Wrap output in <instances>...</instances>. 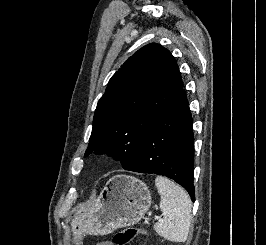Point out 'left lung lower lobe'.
Masks as SVG:
<instances>
[{
    "mask_svg": "<svg viewBox=\"0 0 266 245\" xmlns=\"http://www.w3.org/2000/svg\"><path fill=\"white\" fill-rule=\"evenodd\" d=\"M125 170L173 179L195 201L192 117L183 86L143 135Z\"/></svg>",
    "mask_w": 266,
    "mask_h": 245,
    "instance_id": "0a47b994",
    "label": "left lung lower lobe"
}]
</instances>
